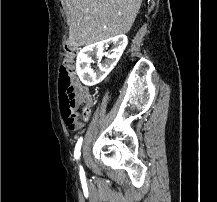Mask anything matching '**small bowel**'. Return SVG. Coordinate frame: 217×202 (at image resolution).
Listing matches in <instances>:
<instances>
[{"label": "small bowel", "mask_w": 217, "mask_h": 202, "mask_svg": "<svg viewBox=\"0 0 217 202\" xmlns=\"http://www.w3.org/2000/svg\"><path fill=\"white\" fill-rule=\"evenodd\" d=\"M75 91H76V96H77V101L78 103H84V102H91V99L89 100H80L79 96L80 95H88L86 89L83 87L82 84H80L79 82L75 81ZM91 116V110L89 108H86L83 113H82V120L79 123V128H81L83 126V122L88 120Z\"/></svg>", "instance_id": "small-bowel-1"}]
</instances>
